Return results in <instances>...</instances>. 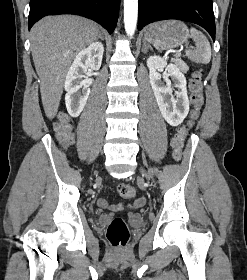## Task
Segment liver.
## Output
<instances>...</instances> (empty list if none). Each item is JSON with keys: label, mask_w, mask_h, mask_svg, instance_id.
I'll return each instance as SVG.
<instances>
[{"label": "liver", "mask_w": 247, "mask_h": 280, "mask_svg": "<svg viewBox=\"0 0 247 280\" xmlns=\"http://www.w3.org/2000/svg\"><path fill=\"white\" fill-rule=\"evenodd\" d=\"M30 34L43 108L46 116L53 119L72 60L83 48L97 40L100 31L96 23L83 17L58 15L38 21Z\"/></svg>", "instance_id": "obj_1"}]
</instances>
